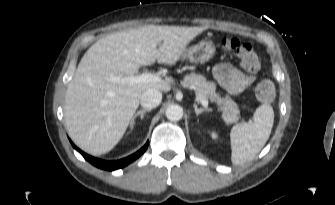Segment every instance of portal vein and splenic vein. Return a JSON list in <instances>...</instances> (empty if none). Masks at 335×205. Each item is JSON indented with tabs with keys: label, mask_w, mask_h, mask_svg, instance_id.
<instances>
[{
	"label": "portal vein and splenic vein",
	"mask_w": 335,
	"mask_h": 205,
	"mask_svg": "<svg viewBox=\"0 0 335 205\" xmlns=\"http://www.w3.org/2000/svg\"><path fill=\"white\" fill-rule=\"evenodd\" d=\"M161 76L157 73L146 72L140 75L132 76L129 78H123V82H128L130 84H137V83H146V82H154L158 83L161 82ZM200 102L204 107L208 106V100L203 96H199Z\"/></svg>",
	"instance_id": "18ae733b"
}]
</instances>
